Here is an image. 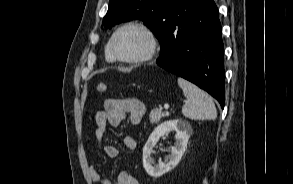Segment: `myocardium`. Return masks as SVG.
<instances>
[{
    "mask_svg": "<svg viewBox=\"0 0 293 184\" xmlns=\"http://www.w3.org/2000/svg\"><path fill=\"white\" fill-rule=\"evenodd\" d=\"M127 28H136L141 30L148 38V49L147 51L134 58H125L121 57L120 55L117 54L115 47H114V42L117 37V35L123 31L124 29ZM159 48V43L158 39L154 33V31L145 23L143 22H138V21H131L127 22L123 25H121L119 28L116 29V31L112 34L110 40H109V50L112 55V57L119 62L122 63H128V64H138V63H144L149 60H151L157 53Z\"/></svg>",
    "mask_w": 293,
    "mask_h": 184,
    "instance_id": "myocardium-1",
    "label": "myocardium"
}]
</instances>
